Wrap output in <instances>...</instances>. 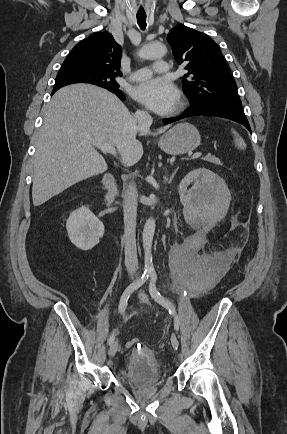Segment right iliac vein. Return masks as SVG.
<instances>
[{"mask_svg": "<svg viewBox=\"0 0 287 434\" xmlns=\"http://www.w3.org/2000/svg\"><path fill=\"white\" fill-rule=\"evenodd\" d=\"M117 349H118V342L114 341L109 348V351H108L109 356L113 357L116 354Z\"/></svg>", "mask_w": 287, "mask_h": 434, "instance_id": "1", "label": "right iliac vein"}]
</instances>
